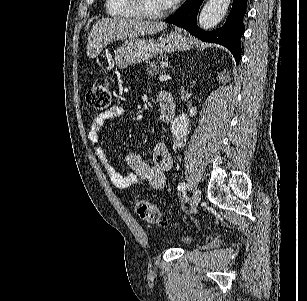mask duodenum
Listing matches in <instances>:
<instances>
[{
	"mask_svg": "<svg viewBox=\"0 0 307 301\" xmlns=\"http://www.w3.org/2000/svg\"><path fill=\"white\" fill-rule=\"evenodd\" d=\"M160 118L164 122H170L175 115L176 104L169 93H162L159 97Z\"/></svg>",
	"mask_w": 307,
	"mask_h": 301,
	"instance_id": "obj_1",
	"label": "duodenum"
}]
</instances>
